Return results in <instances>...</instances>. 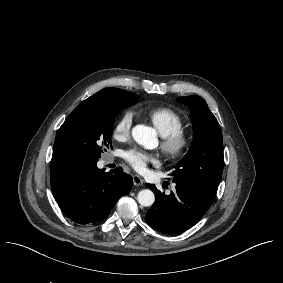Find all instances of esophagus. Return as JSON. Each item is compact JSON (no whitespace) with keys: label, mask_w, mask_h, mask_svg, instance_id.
<instances>
[{"label":"esophagus","mask_w":283,"mask_h":283,"mask_svg":"<svg viewBox=\"0 0 283 283\" xmlns=\"http://www.w3.org/2000/svg\"><path fill=\"white\" fill-rule=\"evenodd\" d=\"M133 184L135 186H142L144 181L138 175H133Z\"/></svg>","instance_id":"obj_1"}]
</instances>
